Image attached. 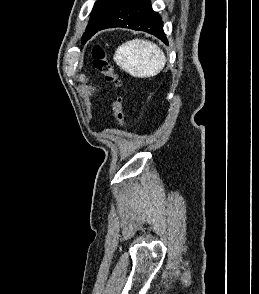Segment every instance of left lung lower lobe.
<instances>
[{
	"label": "left lung lower lobe",
	"mask_w": 259,
	"mask_h": 294,
	"mask_svg": "<svg viewBox=\"0 0 259 294\" xmlns=\"http://www.w3.org/2000/svg\"><path fill=\"white\" fill-rule=\"evenodd\" d=\"M112 27L145 31L167 43L163 22L158 13L152 10L148 0H128L118 5L97 32Z\"/></svg>",
	"instance_id": "1"
}]
</instances>
